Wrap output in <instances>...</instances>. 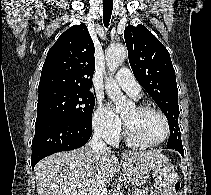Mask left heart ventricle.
<instances>
[{
	"label": "left heart ventricle",
	"instance_id": "left-heart-ventricle-1",
	"mask_svg": "<svg viewBox=\"0 0 211 195\" xmlns=\"http://www.w3.org/2000/svg\"><path fill=\"white\" fill-rule=\"evenodd\" d=\"M133 134L143 142H157L165 134V124L162 117L152 111L142 112L131 107L123 113Z\"/></svg>",
	"mask_w": 211,
	"mask_h": 195
}]
</instances>
